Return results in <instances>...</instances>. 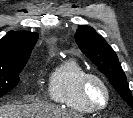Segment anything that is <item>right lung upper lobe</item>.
I'll list each match as a JSON object with an SVG mask.
<instances>
[{"label": "right lung upper lobe", "instance_id": "1", "mask_svg": "<svg viewBox=\"0 0 133 118\" xmlns=\"http://www.w3.org/2000/svg\"><path fill=\"white\" fill-rule=\"evenodd\" d=\"M37 40V33L8 32L0 39V66L27 63Z\"/></svg>", "mask_w": 133, "mask_h": 118}]
</instances>
